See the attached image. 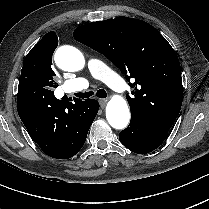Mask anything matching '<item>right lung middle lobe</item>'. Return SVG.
I'll list each match as a JSON object with an SVG mask.
<instances>
[{
    "mask_svg": "<svg viewBox=\"0 0 209 209\" xmlns=\"http://www.w3.org/2000/svg\"><path fill=\"white\" fill-rule=\"evenodd\" d=\"M55 47L51 43L36 44L23 61L19 85H31L47 95H53L54 81L52 55Z\"/></svg>",
    "mask_w": 209,
    "mask_h": 209,
    "instance_id": "obj_1",
    "label": "right lung middle lobe"
}]
</instances>
